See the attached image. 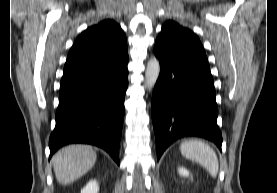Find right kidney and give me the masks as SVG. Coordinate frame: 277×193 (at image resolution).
<instances>
[{"label":"right kidney","mask_w":277,"mask_h":193,"mask_svg":"<svg viewBox=\"0 0 277 193\" xmlns=\"http://www.w3.org/2000/svg\"><path fill=\"white\" fill-rule=\"evenodd\" d=\"M99 184L96 180H91L87 185L81 190V193H98Z\"/></svg>","instance_id":"1"}]
</instances>
